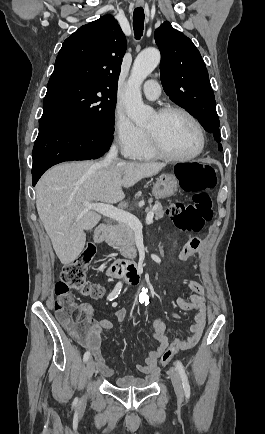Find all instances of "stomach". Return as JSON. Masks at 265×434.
Here are the masks:
<instances>
[{
	"label": "stomach",
	"mask_w": 265,
	"mask_h": 434,
	"mask_svg": "<svg viewBox=\"0 0 265 434\" xmlns=\"http://www.w3.org/2000/svg\"><path fill=\"white\" fill-rule=\"evenodd\" d=\"M177 188V178L173 174H162L156 184H154L152 194L155 198H170V196L175 194Z\"/></svg>",
	"instance_id": "obj_1"
}]
</instances>
